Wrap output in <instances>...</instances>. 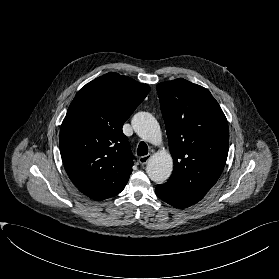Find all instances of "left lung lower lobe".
<instances>
[{"label":"left lung lower lobe","mask_w":279,"mask_h":279,"mask_svg":"<svg viewBox=\"0 0 279 279\" xmlns=\"http://www.w3.org/2000/svg\"><path fill=\"white\" fill-rule=\"evenodd\" d=\"M156 194L164 202L177 207L187 208L200 201L204 195L166 182L156 186Z\"/></svg>","instance_id":"obj_1"}]
</instances>
